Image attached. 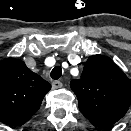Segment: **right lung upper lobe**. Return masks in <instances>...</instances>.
I'll use <instances>...</instances> for the list:
<instances>
[{"instance_id": "1", "label": "right lung upper lobe", "mask_w": 131, "mask_h": 131, "mask_svg": "<svg viewBox=\"0 0 131 131\" xmlns=\"http://www.w3.org/2000/svg\"><path fill=\"white\" fill-rule=\"evenodd\" d=\"M50 83L14 58L0 62V122L20 126L40 108Z\"/></svg>"}]
</instances>
